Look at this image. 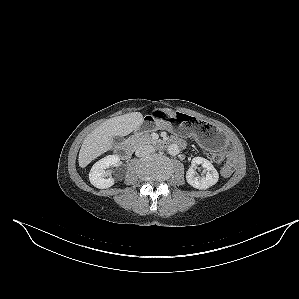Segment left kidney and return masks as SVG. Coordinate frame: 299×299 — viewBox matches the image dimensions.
<instances>
[{
    "instance_id": "5707ae66",
    "label": "left kidney",
    "mask_w": 299,
    "mask_h": 299,
    "mask_svg": "<svg viewBox=\"0 0 299 299\" xmlns=\"http://www.w3.org/2000/svg\"><path fill=\"white\" fill-rule=\"evenodd\" d=\"M202 165L205 168L206 175L202 178L196 175L194 168L197 165ZM219 174L214 166L205 158L202 157H194L191 162V167L188 169L186 173V180L188 184L196 189L206 190L207 188L215 185L218 181Z\"/></svg>"
}]
</instances>
